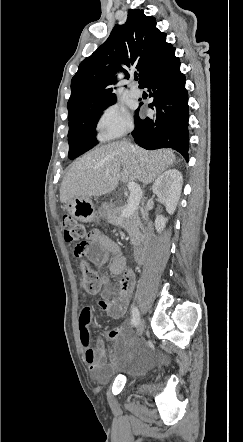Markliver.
Instances as JSON below:
<instances>
[{
  "mask_svg": "<svg viewBox=\"0 0 243 442\" xmlns=\"http://www.w3.org/2000/svg\"><path fill=\"white\" fill-rule=\"evenodd\" d=\"M171 150L148 151L127 141L102 145L72 164L60 187V200L99 197L112 192L119 182L151 183L175 162Z\"/></svg>",
  "mask_w": 243,
  "mask_h": 442,
  "instance_id": "6515ba94",
  "label": "liver"
}]
</instances>
